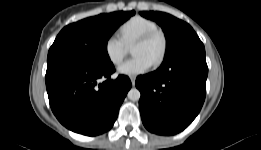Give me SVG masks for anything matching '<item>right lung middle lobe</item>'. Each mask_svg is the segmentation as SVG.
Listing matches in <instances>:
<instances>
[{
  "instance_id": "right-lung-middle-lobe-1",
  "label": "right lung middle lobe",
  "mask_w": 261,
  "mask_h": 150,
  "mask_svg": "<svg viewBox=\"0 0 261 150\" xmlns=\"http://www.w3.org/2000/svg\"><path fill=\"white\" fill-rule=\"evenodd\" d=\"M134 14L135 11L100 14L64 27L49 49L47 64L65 61L98 66L110 63L107 41Z\"/></svg>"
}]
</instances>
